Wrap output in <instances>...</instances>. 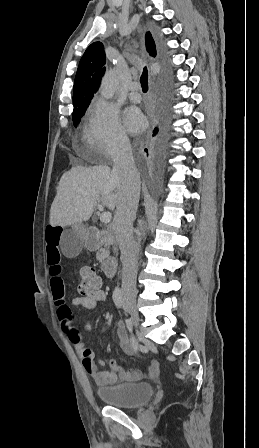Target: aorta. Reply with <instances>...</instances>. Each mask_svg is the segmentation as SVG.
I'll return each mask as SVG.
<instances>
[{"label": "aorta", "instance_id": "aorta-1", "mask_svg": "<svg viewBox=\"0 0 259 448\" xmlns=\"http://www.w3.org/2000/svg\"><path fill=\"white\" fill-rule=\"evenodd\" d=\"M118 85V73L116 70L108 71L100 85L101 96L105 99H111L117 89Z\"/></svg>", "mask_w": 259, "mask_h": 448}]
</instances>
